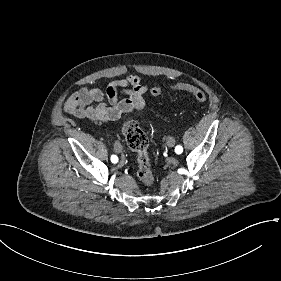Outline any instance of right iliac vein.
Instances as JSON below:
<instances>
[{
	"mask_svg": "<svg viewBox=\"0 0 281 281\" xmlns=\"http://www.w3.org/2000/svg\"><path fill=\"white\" fill-rule=\"evenodd\" d=\"M114 148H115L116 152H121L122 151L121 143L116 141L115 144H114Z\"/></svg>",
	"mask_w": 281,
	"mask_h": 281,
	"instance_id": "1",
	"label": "right iliac vein"
}]
</instances>
